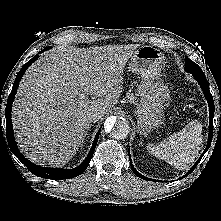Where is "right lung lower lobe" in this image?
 <instances>
[{"mask_svg": "<svg viewBox=\"0 0 221 221\" xmlns=\"http://www.w3.org/2000/svg\"><path fill=\"white\" fill-rule=\"evenodd\" d=\"M50 49V47L45 48L41 52ZM40 52V53H41ZM38 55H35L31 60H29L20 70L18 75L16 76V79L13 84L12 91L8 97L7 100V105L5 109V117H6V136H7V142L9 145V148L11 152L29 169L30 172H32L34 175L41 177V178H46V179H54V180H63V179H69L76 177L80 174H82L86 168L89 165V162L91 158L93 157L95 147L97 145V141L99 138L100 130L95 136L93 145L91 147V150L84 160V162L79 165L78 167L74 169H56V168H45V167H40L38 165H35L34 163L30 162L27 160L18 150L14 136H13V128H12V121H11V109H12V103L14 100V96L16 94V91L19 86V82L26 71V69L35 61L37 60Z\"/></svg>", "mask_w": 221, "mask_h": 221, "instance_id": "right-lung-lower-lobe-1", "label": "right lung lower lobe"}]
</instances>
